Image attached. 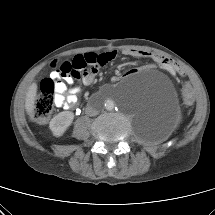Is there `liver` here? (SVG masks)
Returning a JSON list of instances; mask_svg holds the SVG:
<instances>
[{
    "instance_id": "obj_1",
    "label": "liver",
    "mask_w": 215,
    "mask_h": 215,
    "mask_svg": "<svg viewBox=\"0 0 215 215\" xmlns=\"http://www.w3.org/2000/svg\"><path fill=\"white\" fill-rule=\"evenodd\" d=\"M36 94H37V84L32 83L28 88V91L26 93V99H25V109L29 115H32L34 113Z\"/></svg>"
}]
</instances>
